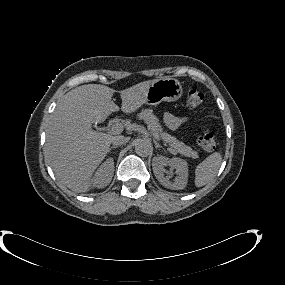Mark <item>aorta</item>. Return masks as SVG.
I'll use <instances>...</instances> for the list:
<instances>
[{"label": "aorta", "mask_w": 285, "mask_h": 285, "mask_svg": "<svg viewBox=\"0 0 285 285\" xmlns=\"http://www.w3.org/2000/svg\"><path fill=\"white\" fill-rule=\"evenodd\" d=\"M152 151L151 143L144 139H138L135 141V152L139 156L146 157Z\"/></svg>", "instance_id": "aorta-1"}]
</instances>
